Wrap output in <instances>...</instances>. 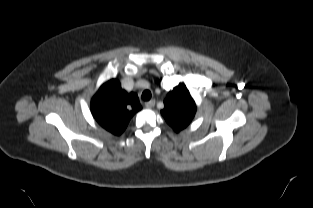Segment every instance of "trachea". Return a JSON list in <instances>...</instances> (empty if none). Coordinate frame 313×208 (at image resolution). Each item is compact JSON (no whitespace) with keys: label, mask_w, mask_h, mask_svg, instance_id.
<instances>
[{"label":"trachea","mask_w":313,"mask_h":208,"mask_svg":"<svg viewBox=\"0 0 313 208\" xmlns=\"http://www.w3.org/2000/svg\"><path fill=\"white\" fill-rule=\"evenodd\" d=\"M142 99L144 101H149L151 99V92L149 90H145L142 93Z\"/></svg>","instance_id":"3493384b"}]
</instances>
